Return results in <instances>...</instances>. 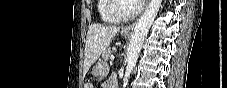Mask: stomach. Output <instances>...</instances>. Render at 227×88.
Listing matches in <instances>:
<instances>
[{
	"instance_id": "0dacf381",
	"label": "stomach",
	"mask_w": 227,
	"mask_h": 88,
	"mask_svg": "<svg viewBox=\"0 0 227 88\" xmlns=\"http://www.w3.org/2000/svg\"><path fill=\"white\" fill-rule=\"evenodd\" d=\"M121 34L123 36H127L126 32L122 31ZM106 72H107V69H106L105 64H103V62H98L93 66L91 75L95 79H102L106 75Z\"/></svg>"
}]
</instances>
